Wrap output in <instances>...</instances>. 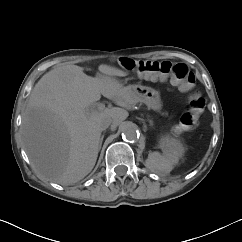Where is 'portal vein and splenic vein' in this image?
I'll list each match as a JSON object with an SVG mask.
<instances>
[{
    "instance_id": "obj_1",
    "label": "portal vein and splenic vein",
    "mask_w": 242,
    "mask_h": 242,
    "mask_svg": "<svg viewBox=\"0 0 242 242\" xmlns=\"http://www.w3.org/2000/svg\"><path fill=\"white\" fill-rule=\"evenodd\" d=\"M105 109V105L104 104H102V103H100L98 106H97V108H91L90 110L88 109L87 110V114L89 115L90 113H92V112H95V111H103Z\"/></svg>"
}]
</instances>
